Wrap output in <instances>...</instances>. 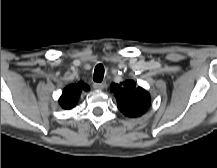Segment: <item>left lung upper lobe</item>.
Masks as SVG:
<instances>
[{
	"label": "left lung upper lobe",
	"instance_id": "1",
	"mask_svg": "<svg viewBox=\"0 0 217 168\" xmlns=\"http://www.w3.org/2000/svg\"><path fill=\"white\" fill-rule=\"evenodd\" d=\"M111 91L117 100L119 110L128 117H138L146 112L150 105V95L136 86L133 80L120 84H111Z\"/></svg>",
	"mask_w": 217,
	"mask_h": 168
}]
</instances>
